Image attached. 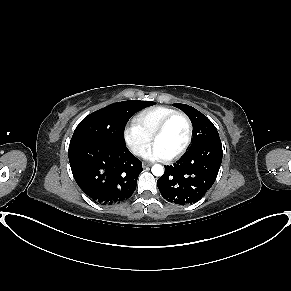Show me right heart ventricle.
I'll use <instances>...</instances> for the list:
<instances>
[{
  "label": "right heart ventricle",
  "instance_id": "obj_1",
  "mask_svg": "<svg viewBox=\"0 0 291 291\" xmlns=\"http://www.w3.org/2000/svg\"><path fill=\"white\" fill-rule=\"evenodd\" d=\"M176 110L166 106H156L138 113L135 122L152 137L160 123Z\"/></svg>",
  "mask_w": 291,
  "mask_h": 291
}]
</instances>
